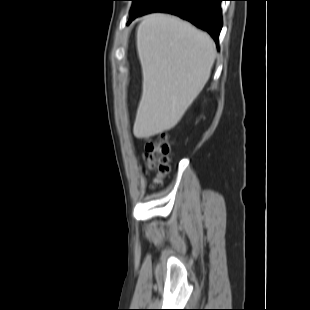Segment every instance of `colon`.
<instances>
[{
	"label": "colon",
	"mask_w": 310,
	"mask_h": 310,
	"mask_svg": "<svg viewBox=\"0 0 310 310\" xmlns=\"http://www.w3.org/2000/svg\"><path fill=\"white\" fill-rule=\"evenodd\" d=\"M170 146L166 134L156 139H148L144 147L147 168L155 173L153 184L159 186L162 178L169 172Z\"/></svg>",
	"instance_id": "5ec220e1"
}]
</instances>
